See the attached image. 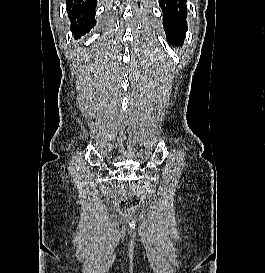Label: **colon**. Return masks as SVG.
I'll return each instance as SVG.
<instances>
[{
    "label": "colon",
    "mask_w": 265,
    "mask_h": 273,
    "mask_svg": "<svg viewBox=\"0 0 265 273\" xmlns=\"http://www.w3.org/2000/svg\"><path fill=\"white\" fill-rule=\"evenodd\" d=\"M142 202V196L138 193L126 195L118 203V209L122 215H129Z\"/></svg>",
    "instance_id": "colon-1"
}]
</instances>
